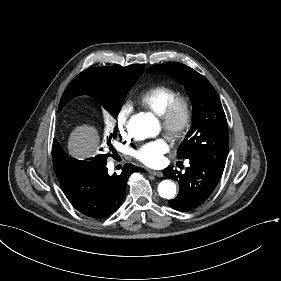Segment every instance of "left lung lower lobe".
Returning <instances> with one entry per match:
<instances>
[{
	"instance_id": "obj_1",
	"label": "left lung lower lobe",
	"mask_w": 281,
	"mask_h": 281,
	"mask_svg": "<svg viewBox=\"0 0 281 281\" xmlns=\"http://www.w3.org/2000/svg\"><path fill=\"white\" fill-rule=\"evenodd\" d=\"M190 167L184 174L168 167L163 174L179 183V193L168 204L178 211H191L202 205L212 194L223 173L219 168L201 158H189Z\"/></svg>"
}]
</instances>
